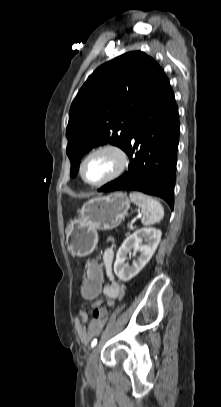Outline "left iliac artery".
I'll list each match as a JSON object with an SVG mask.
<instances>
[{"label":"left iliac artery","instance_id":"44dca946","mask_svg":"<svg viewBox=\"0 0 221 407\" xmlns=\"http://www.w3.org/2000/svg\"><path fill=\"white\" fill-rule=\"evenodd\" d=\"M96 344H97V339H94V340L91 342V348H93L94 346H96Z\"/></svg>","mask_w":221,"mask_h":407}]
</instances>
